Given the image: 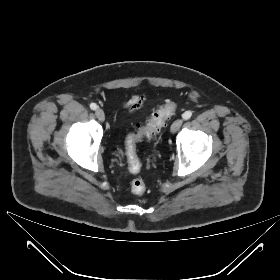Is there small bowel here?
I'll return each instance as SVG.
<instances>
[{
    "mask_svg": "<svg viewBox=\"0 0 280 280\" xmlns=\"http://www.w3.org/2000/svg\"><path fill=\"white\" fill-rule=\"evenodd\" d=\"M148 103V97L145 93L132 95L124 102L123 107L130 112L142 110Z\"/></svg>",
    "mask_w": 280,
    "mask_h": 280,
    "instance_id": "c3829d8e",
    "label": "small bowel"
}]
</instances>
